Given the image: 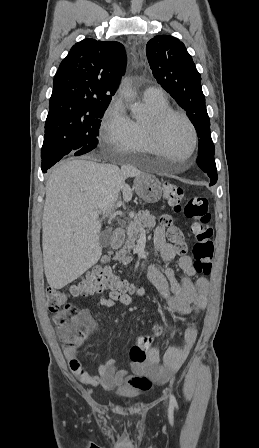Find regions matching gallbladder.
I'll return each mask as SVG.
<instances>
[{"label": "gallbladder", "mask_w": 259, "mask_h": 448, "mask_svg": "<svg viewBox=\"0 0 259 448\" xmlns=\"http://www.w3.org/2000/svg\"><path fill=\"white\" fill-rule=\"evenodd\" d=\"M145 168V166H143ZM113 242V232L111 228H108V230H103L99 236V244L101 248H108V246H111Z\"/></svg>", "instance_id": "obj_1"}]
</instances>
